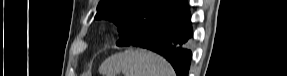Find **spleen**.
Returning a JSON list of instances; mask_svg holds the SVG:
<instances>
[{"label": "spleen", "mask_w": 287, "mask_h": 76, "mask_svg": "<svg viewBox=\"0 0 287 76\" xmlns=\"http://www.w3.org/2000/svg\"><path fill=\"white\" fill-rule=\"evenodd\" d=\"M103 76H175L172 66L161 56L144 49H128L108 57L101 65Z\"/></svg>", "instance_id": "3e777b00"}]
</instances>
